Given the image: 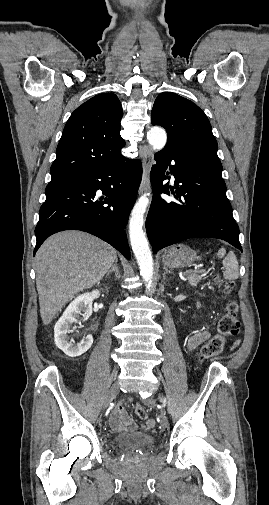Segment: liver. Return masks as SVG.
Segmentation results:
<instances>
[{
  "instance_id": "obj_1",
  "label": "liver",
  "mask_w": 269,
  "mask_h": 505,
  "mask_svg": "<svg viewBox=\"0 0 269 505\" xmlns=\"http://www.w3.org/2000/svg\"><path fill=\"white\" fill-rule=\"evenodd\" d=\"M116 259L113 247L81 231H64L49 237L35 256L43 324H50L80 291L99 284Z\"/></svg>"
}]
</instances>
